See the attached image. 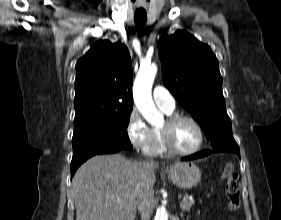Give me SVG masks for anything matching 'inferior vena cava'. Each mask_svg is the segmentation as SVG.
Wrapping results in <instances>:
<instances>
[{"label": "inferior vena cava", "mask_w": 281, "mask_h": 220, "mask_svg": "<svg viewBox=\"0 0 281 220\" xmlns=\"http://www.w3.org/2000/svg\"><path fill=\"white\" fill-rule=\"evenodd\" d=\"M154 191L153 188H147L138 193L137 206L141 215V220H149L153 212Z\"/></svg>", "instance_id": "602c4592"}]
</instances>
